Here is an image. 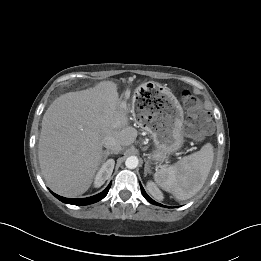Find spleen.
I'll use <instances>...</instances> for the list:
<instances>
[{"mask_svg": "<svg viewBox=\"0 0 261 261\" xmlns=\"http://www.w3.org/2000/svg\"><path fill=\"white\" fill-rule=\"evenodd\" d=\"M214 159L213 146L205 144L198 152L183 157L174 165L154 174L155 182L178 200H187L203 187Z\"/></svg>", "mask_w": 261, "mask_h": 261, "instance_id": "1", "label": "spleen"}]
</instances>
